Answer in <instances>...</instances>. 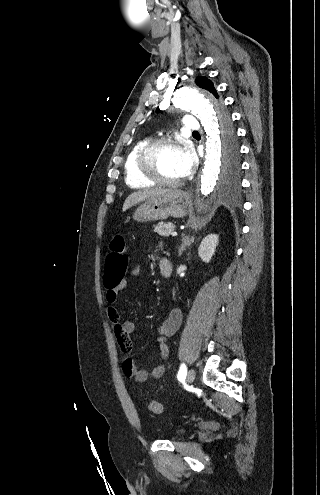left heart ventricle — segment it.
<instances>
[{"instance_id":"1","label":"left heart ventricle","mask_w":320,"mask_h":495,"mask_svg":"<svg viewBox=\"0 0 320 495\" xmlns=\"http://www.w3.org/2000/svg\"><path fill=\"white\" fill-rule=\"evenodd\" d=\"M185 149L166 146L154 157V164L159 175L166 179L178 180L183 177L182 155Z\"/></svg>"}]
</instances>
